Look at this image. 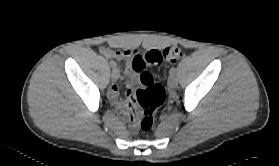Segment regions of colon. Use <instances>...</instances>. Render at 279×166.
I'll return each mask as SVG.
<instances>
[{"instance_id": "5ec220e1", "label": "colon", "mask_w": 279, "mask_h": 166, "mask_svg": "<svg viewBox=\"0 0 279 166\" xmlns=\"http://www.w3.org/2000/svg\"><path fill=\"white\" fill-rule=\"evenodd\" d=\"M182 56L183 52L180 47L169 46L162 51L150 50L134 57L132 69L139 74V80L142 85V88L135 93L137 95L135 102L142 109V116L139 122V127L142 131L147 132L153 127L156 112L166 100L164 87L154 82L152 75L146 70L147 67L158 64L163 60L174 63L181 59Z\"/></svg>"}]
</instances>
